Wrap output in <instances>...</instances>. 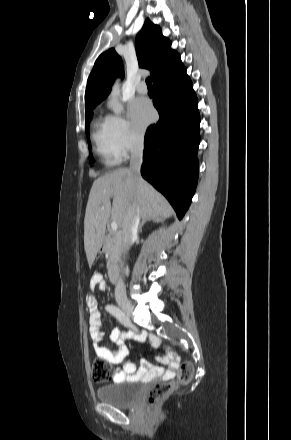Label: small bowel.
Wrapping results in <instances>:
<instances>
[{"instance_id": "small-bowel-1", "label": "small bowel", "mask_w": 291, "mask_h": 440, "mask_svg": "<svg viewBox=\"0 0 291 440\" xmlns=\"http://www.w3.org/2000/svg\"><path fill=\"white\" fill-rule=\"evenodd\" d=\"M90 287L94 290L96 287L103 290L106 284L100 274H95L90 280ZM86 304L90 311V335L96 355L110 364H119L128 355L129 351L126 346V339L129 334H124L117 329H113L110 334L112 348H106L102 345L104 338L103 323L101 313L97 308V299L93 295H88ZM142 334L136 335V339H142ZM149 343L152 348H156L159 344V339L156 336L149 337ZM163 363L168 365L167 369L152 365L148 360H143L139 367L130 361L125 362L122 369L114 372V380L119 381L123 379L128 380H142L144 382L150 381L156 377L163 376L165 378L172 377L178 371L180 366V357L173 353L168 358H161Z\"/></svg>"}]
</instances>
